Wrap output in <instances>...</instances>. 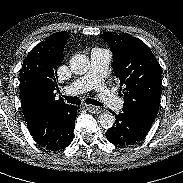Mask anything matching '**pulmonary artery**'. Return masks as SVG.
<instances>
[{
    "label": "pulmonary artery",
    "instance_id": "1",
    "mask_svg": "<svg viewBox=\"0 0 183 183\" xmlns=\"http://www.w3.org/2000/svg\"><path fill=\"white\" fill-rule=\"evenodd\" d=\"M110 59L111 54L107 50L94 49L91 53V64L88 72L67 86L65 92L75 95L95 89L100 100L107 107L113 110L122 109L123 100L112 93L103 82V76Z\"/></svg>",
    "mask_w": 183,
    "mask_h": 183
}]
</instances>
